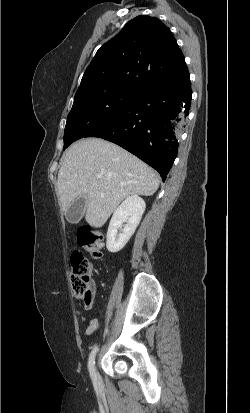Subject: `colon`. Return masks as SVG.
Here are the masks:
<instances>
[{
	"label": "colon",
	"instance_id": "colon-1",
	"mask_svg": "<svg viewBox=\"0 0 250 413\" xmlns=\"http://www.w3.org/2000/svg\"><path fill=\"white\" fill-rule=\"evenodd\" d=\"M77 242L93 258H100L103 251V236L101 232L90 226H82L77 231ZM71 283L76 298L90 306L95 296L93 276L95 268L92 262L81 252L75 251L71 256Z\"/></svg>",
	"mask_w": 250,
	"mask_h": 413
}]
</instances>
